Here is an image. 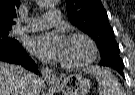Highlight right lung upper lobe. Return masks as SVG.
Returning a JSON list of instances; mask_svg holds the SVG:
<instances>
[{
  "label": "right lung upper lobe",
  "instance_id": "cb5924a9",
  "mask_svg": "<svg viewBox=\"0 0 135 95\" xmlns=\"http://www.w3.org/2000/svg\"><path fill=\"white\" fill-rule=\"evenodd\" d=\"M20 0H0V30H10L15 24L16 9L19 8Z\"/></svg>",
  "mask_w": 135,
  "mask_h": 95
}]
</instances>
